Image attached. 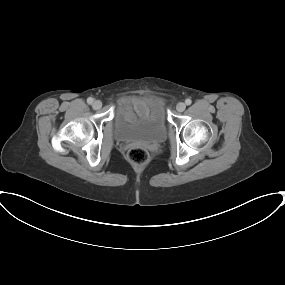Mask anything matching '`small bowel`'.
<instances>
[{"mask_svg":"<svg viewBox=\"0 0 285 285\" xmlns=\"http://www.w3.org/2000/svg\"><path fill=\"white\" fill-rule=\"evenodd\" d=\"M144 108H145V106L144 105H142V106H140V110H144Z\"/></svg>","mask_w":285,"mask_h":285,"instance_id":"c3829d8e","label":"small bowel"}]
</instances>
